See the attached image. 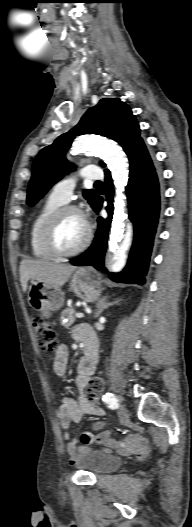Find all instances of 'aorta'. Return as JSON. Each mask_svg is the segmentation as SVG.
<instances>
[{
  "label": "aorta",
  "mask_w": 192,
  "mask_h": 527,
  "mask_svg": "<svg viewBox=\"0 0 192 527\" xmlns=\"http://www.w3.org/2000/svg\"><path fill=\"white\" fill-rule=\"evenodd\" d=\"M85 152L98 154L104 158L108 164L115 185V211L112 222L109 250L113 254H118V261L114 265V271H120L126 262V251L131 245V229L125 231V220L127 215L124 213V188L128 180V164L122 149L116 144L96 136L80 137L73 145L72 154Z\"/></svg>",
  "instance_id": "obj_1"
}]
</instances>
